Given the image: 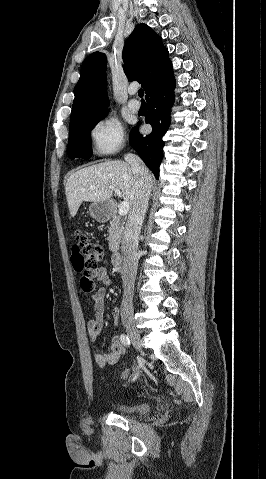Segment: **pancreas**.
Here are the masks:
<instances>
[{
    "mask_svg": "<svg viewBox=\"0 0 266 479\" xmlns=\"http://www.w3.org/2000/svg\"><path fill=\"white\" fill-rule=\"evenodd\" d=\"M108 233L109 250L113 253H117L122 238V224L120 222L119 216H113V219L110 221V228Z\"/></svg>",
    "mask_w": 266,
    "mask_h": 479,
    "instance_id": "cf45deb5",
    "label": "pancreas"
}]
</instances>
